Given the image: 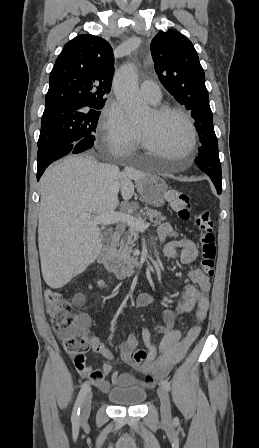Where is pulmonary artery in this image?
<instances>
[{
  "label": "pulmonary artery",
  "instance_id": "1",
  "mask_svg": "<svg viewBox=\"0 0 259 448\" xmlns=\"http://www.w3.org/2000/svg\"><path fill=\"white\" fill-rule=\"evenodd\" d=\"M142 97L151 104L158 103L162 98V91L155 82H143L139 87Z\"/></svg>",
  "mask_w": 259,
  "mask_h": 448
}]
</instances>
